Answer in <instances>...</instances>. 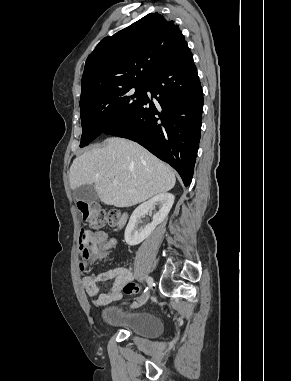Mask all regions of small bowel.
Wrapping results in <instances>:
<instances>
[{
	"label": "small bowel",
	"instance_id": "obj_1",
	"mask_svg": "<svg viewBox=\"0 0 291 381\" xmlns=\"http://www.w3.org/2000/svg\"><path fill=\"white\" fill-rule=\"evenodd\" d=\"M90 242L94 257H102L109 249L112 240L110 235L104 231L91 232ZM113 280L109 290L99 294L98 282ZM133 280L132 272L125 267H114L112 269L98 273L97 275L85 276L82 279V286L88 296L95 298L97 305H104L120 300L123 296V287Z\"/></svg>",
	"mask_w": 291,
	"mask_h": 381
}]
</instances>
